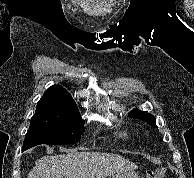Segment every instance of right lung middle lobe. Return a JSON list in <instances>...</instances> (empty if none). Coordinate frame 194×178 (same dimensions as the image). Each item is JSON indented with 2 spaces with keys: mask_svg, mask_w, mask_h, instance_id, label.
<instances>
[{
  "mask_svg": "<svg viewBox=\"0 0 194 178\" xmlns=\"http://www.w3.org/2000/svg\"><path fill=\"white\" fill-rule=\"evenodd\" d=\"M84 130V121L79 113L49 105H37L22 150L39 144H74L80 140Z\"/></svg>",
  "mask_w": 194,
  "mask_h": 178,
  "instance_id": "right-lung-middle-lobe-1",
  "label": "right lung middle lobe"
}]
</instances>
